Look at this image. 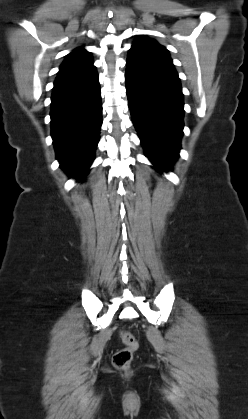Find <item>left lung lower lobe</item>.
Here are the masks:
<instances>
[{
    "label": "left lung lower lobe",
    "mask_w": 248,
    "mask_h": 419,
    "mask_svg": "<svg viewBox=\"0 0 248 419\" xmlns=\"http://www.w3.org/2000/svg\"><path fill=\"white\" fill-rule=\"evenodd\" d=\"M126 92L132 122L146 156L160 171L171 170L179 156L184 103L172 62L130 49Z\"/></svg>",
    "instance_id": "1"
}]
</instances>
